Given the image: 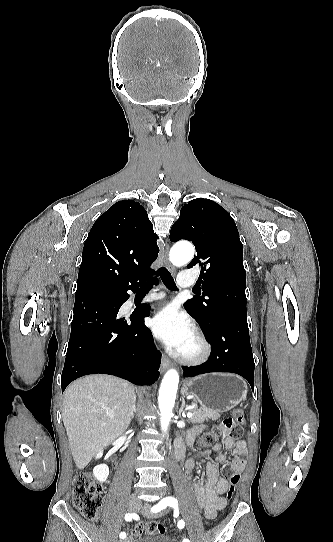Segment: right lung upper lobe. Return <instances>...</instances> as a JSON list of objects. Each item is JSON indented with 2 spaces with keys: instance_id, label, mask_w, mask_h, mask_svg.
I'll return each mask as SVG.
<instances>
[{
  "instance_id": "cb5924a9",
  "label": "right lung upper lobe",
  "mask_w": 333,
  "mask_h": 542,
  "mask_svg": "<svg viewBox=\"0 0 333 542\" xmlns=\"http://www.w3.org/2000/svg\"><path fill=\"white\" fill-rule=\"evenodd\" d=\"M146 210L133 200L115 203L92 226L83 252L92 248L110 251L111 262L92 267L82 264L77 291L89 289H125L140 282L159 248Z\"/></svg>"
}]
</instances>
